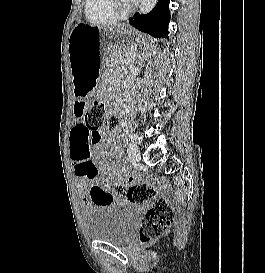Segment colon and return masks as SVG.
I'll return each instance as SVG.
<instances>
[{
	"label": "colon",
	"instance_id": "colon-1",
	"mask_svg": "<svg viewBox=\"0 0 265 273\" xmlns=\"http://www.w3.org/2000/svg\"><path fill=\"white\" fill-rule=\"evenodd\" d=\"M119 124L116 115H107L101 103H95L86 112L85 126L89 130V145L97 147L102 141L109 139ZM104 190L109 188L117 192H125L127 199L134 204H145L153 200L139 229V240L147 245L162 236L174 223L175 206L182 200V192L176 191L172 198H155L152 184L136 182L124 188L120 183L104 178L100 183ZM102 205V204H96Z\"/></svg>",
	"mask_w": 265,
	"mask_h": 273
}]
</instances>
